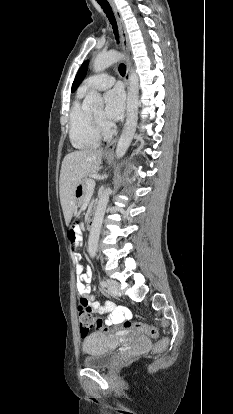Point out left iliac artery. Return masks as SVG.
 Returning <instances> with one entry per match:
<instances>
[{"label": "left iliac artery", "instance_id": "44dca946", "mask_svg": "<svg viewBox=\"0 0 233 414\" xmlns=\"http://www.w3.org/2000/svg\"><path fill=\"white\" fill-rule=\"evenodd\" d=\"M101 285H102L103 287H107V282H106V281H104V280H102V281H101Z\"/></svg>", "mask_w": 233, "mask_h": 414}]
</instances>
